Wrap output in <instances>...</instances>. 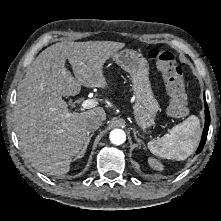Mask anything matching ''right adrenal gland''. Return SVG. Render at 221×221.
<instances>
[{
	"instance_id": "obj_1",
	"label": "right adrenal gland",
	"mask_w": 221,
	"mask_h": 221,
	"mask_svg": "<svg viewBox=\"0 0 221 221\" xmlns=\"http://www.w3.org/2000/svg\"><path fill=\"white\" fill-rule=\"evenodd\" d=\"M93 135H94V132L90 136L87 137V141L85 143L83 151L74 159V161H76L77 159H81L84 156V154H85V152H86V150H87V148L89 146L90 140L93 137Z\"/></svg>"
}]
</instances>
